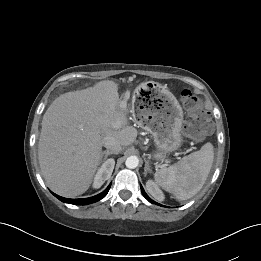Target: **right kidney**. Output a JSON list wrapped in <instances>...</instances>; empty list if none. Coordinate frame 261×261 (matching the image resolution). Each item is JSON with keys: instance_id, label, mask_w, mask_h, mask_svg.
I'll use <instances>...</instances> for the list:
<instances>
[{"instance_id": "obj_1", "label": "right kidney", "mask_w": 261, "mask_h": 261, "mask_svg": "<svg viewBox=\"0 0 261 261\" xmlns=\"http://www.w3.org/2000/svg\"><path fill=\"white\" fill-rule=\"evenodd\" d=\"M114 165H115V160L112 158L108 159L101 165L94 178V182H93L94 188L96 189L100 188L105 181L110 179L114 169Z\"/></svg>"}]
</instances>
